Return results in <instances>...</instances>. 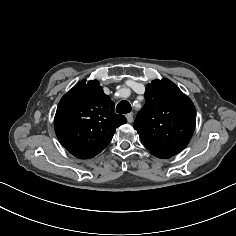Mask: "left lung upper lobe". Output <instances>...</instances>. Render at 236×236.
<instances>
[{
    "instance_id": "1",
    "label": "left lung upper lobe",
    "mask_w": 236,
    "mask_h": 236,
    "mask_svg": "<svg viewBox=\"0 0 236 236\" xmlns=\"http://www.w3.org/2000/svg\"><path fill=\"white\" fill-rule=\"evenodd\" d=\"M146 103L133 127L152 155L169 158L189 143L196 125L193 102L168 79L146 86Z\"/></svg>"
}]
</instances>
